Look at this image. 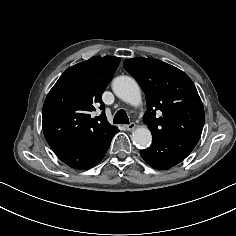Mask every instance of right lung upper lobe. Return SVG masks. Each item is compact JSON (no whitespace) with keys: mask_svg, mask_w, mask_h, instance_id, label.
<instances>
[{"mask_svg":"<svg viewBox=\"0 0 236 236\" xmlns=\"http://www.w3.org/2000/svg\"><path fill=\"white\" fill-rule=\"evenodd\" d=\"M120 58L95 56L68 68L50 90L43 105V132L49 144L99 139L115 126L104 112L91 117L96 105L104 110L102 93Z\"/></svg>","mask_w":236,"mask_h":236,"instance_id":"cb5924a9","label":"right lung upper lobe"}]
</instances>
